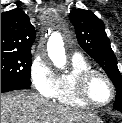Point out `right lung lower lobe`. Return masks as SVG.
<instances>
[{
	"label": "right lung lower lobe",
	"mask_w": 122,
	"mask_h": 123,
	"mask_svg": "<svg viewBox=\"0 0 122 123\" xmlns=\"http://www.w3.org/2000/svg\"><path fill=\"white\" fill-rule=\"evenodd\" d=\"M18 89H30V85L15 80L1 79V93Z\"/></svg>",
	"instance_id": "right-lung-lower-lobe-1"
}]
</instances>
